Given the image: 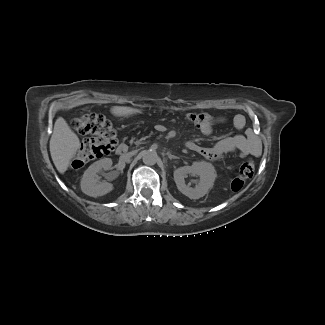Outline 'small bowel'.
<instances>
[{
	"mask_svg": "<svg viewBox=\"0 0 325 325\" xmlns=\"http://www.w3.org/2000/svg\"><path fill=\"white\" fill-rule=\"evenodd\" d=\"M207 115L209 119L199 129L204 135L209 136L213 134L215 126L225 122L226 118L221 115H212L209 113ZM232 122L237 130H241L244 128L246 120L243 115L237 114L233 117ZM188 148L210 160H220L230 153H238L239 156L244 157L257 152L253 148L251 141L243 134L224 137L214 145L208 147L189 143Z\"/></svg>",
	"mask_w": 325,
	"mask_h": 325,
	"instance_id": "1",
	"label": "small bowel"
}]
</instances>
